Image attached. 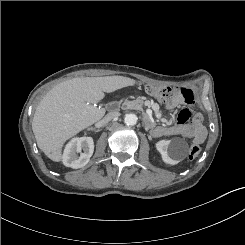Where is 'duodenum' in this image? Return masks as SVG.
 <instances>
[{
	"label": "duodenum",
	"instance_id": "410a0bca",
	"mask_svg": "<svg viewBox=\"0 0 245 245\" xmlns=\"http://www.w3.org/2000/svg\"><path fill=\"white\" fill-rule=\"evenodd\" d=\"M118 106H119L118 102L114 101V102L109 103L107 108L109 111H114L118 108ZM144 122L147 126H150L154 123L153 119L150 116H145Z\"/></svg>",
	"mask_w": 245,
	"mask_h": 245
}]
</instances>
